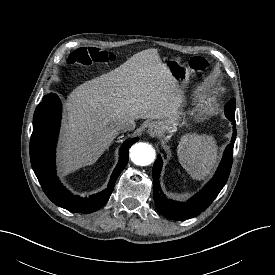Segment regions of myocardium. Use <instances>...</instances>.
Returning a JSON list of instances; mask_svg holds the SVG:
<instances>
[{"label":"myocardium","instance_id":"obj_1","mask_svg":"<svg viewBox=\"0 0 275 275\" xmlns=\"http://www.w3.org/2000/svg\"><path fill=\"white\" fill-rule=\"evenodd\" d=\"M198 105L199 107L203 106V101H200Z\"/></svg>","mask_w":275,"mask_h":275}]
</instances>
